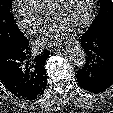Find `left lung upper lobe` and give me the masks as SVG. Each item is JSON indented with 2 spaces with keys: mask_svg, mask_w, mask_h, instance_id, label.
<instances>
[{
  "mask_svg": "<svg viewBox=\"0 0 113 113\" xmlns=\"http://www.w3.org/2000/svg\"><path fill=\"white\" fill-rule=\"evenodd\" d=\"M100 12L94 19L87 32L95 33L109 25H113V2L112 0H99Z\"/></svg>",
  "mask_w": 113,
  "mask_h": 113,
  "instance_id": "obj_1",
  "label": "left lung upper lobe"
}]
</instances>
